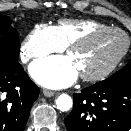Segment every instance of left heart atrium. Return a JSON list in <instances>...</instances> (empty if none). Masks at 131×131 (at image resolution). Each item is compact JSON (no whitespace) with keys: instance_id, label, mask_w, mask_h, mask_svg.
<instances>
[{"instance_id":"left-heart-atrium-1","label":"left heart atrium","mask_w":131,"mask_h":131,"mask_svg":"<svg viewBox=\"0 0 131 131\" xmlns=\"http://www.w3.org/2000/svg\"><path fill=\"white\" fill-rule=\"evenodd\" d=\"M30 73L38 83L46 87L61 88L71 85L79 71L71 56H53L33 63Z\"/></svg>"}]
</instances>
